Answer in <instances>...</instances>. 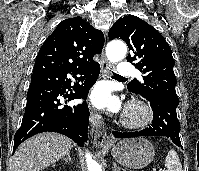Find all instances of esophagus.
<instances>
[{
    "label": "esophagus",
    "instance_id": "obj_1",
    "mask_svg": "<svg viewBox=\"0 0 199 171\" xmlns=\"http://www.w3.org/2000/svg\"><path fill=\"white\" fill-rule=\"evenodd\" d=\"M100 65L102 76H107L110 72V64L104 52L101 54ZM90 121L96 126L94 144L98 147L106 146L108 144L106 129L99 120L98 112L92 107H90Z\"/></svg>",
    "mask_w": 199,
    "mask_h": 171
}]
</instances>
